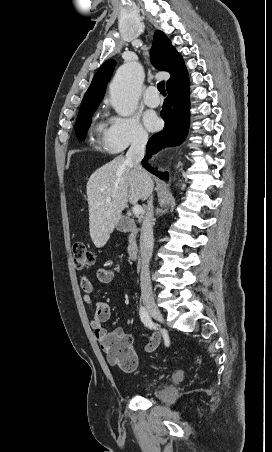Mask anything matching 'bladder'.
I'll use <instances>...</instances> for the list:
<instances>
[{
    "label": "bladder",
    "instance_id": "obj_1",
    "mask_svg": "<svg viewBox=\"0 0 272 452\" xmlns=\"http://www.w3.org/2000/svg\"><path fill=\"white\" fill-rule=\"evenodd\" d=\"M157 384H158V380L155 379V378H151V379H148V380H146L145 382H143V383L140 385V387H141L142 389H150V388L155 387Z\"/></svg>",
    "mask_w": 272,
    "mask_h": 452
}]
</instances>
